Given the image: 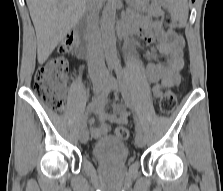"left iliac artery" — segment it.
<instances>
[{
  "label": "left iliac artery",
  "instance_id": "44dca946",
  "mask_svg": "<svg viewBox=\"0 0 223 191\" xmlns=\"http://www.w3.org/2000/svg\"><path fill=\"white\" fill-rule=\"evenodd\" d=\"M114 68H115V71H116L117 79H118L119 84L122 88V95L125 98L129 107H131V109H133L132 100H131V97H130V94H129L128 85L126 83V79H125L122 67H121L120 64H115ZM134 119H135V130H136V132H142V127H141L140 123L138 122V119L136 118V116H134Z\"/></svg>",
  "mask_w": 223,
  "mask_h": 191
}]
</instances>
